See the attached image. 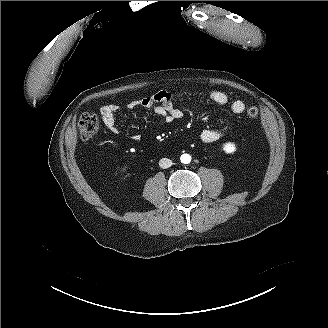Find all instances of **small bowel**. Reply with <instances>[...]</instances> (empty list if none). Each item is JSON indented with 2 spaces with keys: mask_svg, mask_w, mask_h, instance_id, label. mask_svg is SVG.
<instances>
[{
  "mask_svg": "<svg viewBox=\"0 0 328 328\" xmlns=\"http://www.w3.org/2000/svg\"><path fill=\"white\" fill-rule=\"evenodd\" d=\"M194 95V93H189ZM208 98L218 105H229L230 110L235 114H241L245 111L246 105L242 100H229L226 93L220 90H212L208 93ZM143 107L152 110L156 115L161 117L165 122H172L182 116L179 109L173 105V95L168 91H159L153 95L130 101L127 104L129 110ZM120 107L117 104H105L100 108V115L104 126L113 134H118L119 130L116 125L115 115ZM220 131L217 129H203L200 132V139L203 143L210 144L220 138ZM137 141L138 136H133Z\"/></svg>",
  "mask_w": 328,
  "mask_h": 328,
  "instance_id": "1",
  "label": "small bowel"
}]
</instances>
